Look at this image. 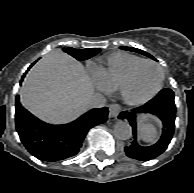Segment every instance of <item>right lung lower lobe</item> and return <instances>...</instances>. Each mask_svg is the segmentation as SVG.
<instances>
[{
    "mask_svg": "<svg viewBox=\"0 0 194 193\" xmlns=\"http://www.w3.org/2000/svg\"><path fill=\"white\" fill-rule=\"evenodd\" d=\"M15 106L16 129L22 143L33 156L44 161L76 155L88 130L106 122L108 115L106 107L95 108L69 124L50 125L25 110L19 96H16Z\"/></svg>",
    "mask_w": 194,
    "mask_h": 193,
    "instance_id": "obj_1",
    "label": "right lung lower lobe"
}]
</instances>
